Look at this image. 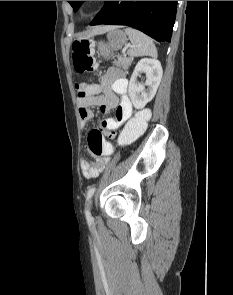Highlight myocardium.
<instances>
[{
    "label": "myocardium",
    "instance_id": "obj_1",
    "mask_svg": "<svg viewBox=\"0 0 233 295\" xmlns=\"http://www.w3.org/2000/svg\"><path fill=\"white\" fill-rule=\"evenodd\" d=\"M101 1H84L82 3V11L84 13L92 12L97 6H99Z\"/></svg>",
    "mask_w": 233,
    "mask_h": 295
}]
</instances>
